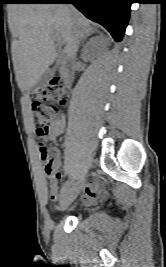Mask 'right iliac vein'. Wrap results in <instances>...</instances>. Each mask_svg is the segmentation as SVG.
<instances>
[{
    "instance_id": "63e3f726",
    "label": "right iliac vein",
    "mask_w": 166,
    "mask_h": 267,
    "mask_svg": "<svg viewBox=\"0 0 166 267\" xmlns=\"http://www.w3.org/2000/svg\"><path fill=\"white\" fill-rule=\"evenodd\" d=\"M85 182V177H81L73 186L67 191L63 197L60 210H65L78 196Z\"/></svg>"
}]
</instances>
